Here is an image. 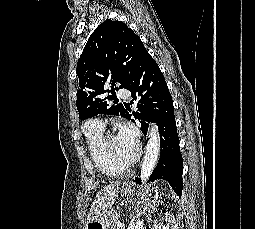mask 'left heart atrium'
I'll list each match as a JSON object with an SVG mask.
<instances>
[{"label": "left heart atrium", "mask_w": 255, "mask_h": 229, "mask_svg": "<svg viewBox=\"0 0 255 229\" xmlns=\"http://www.w3.org/2000/svg\"><path fill=\"white\" fill-rule=\"evenodd\" d=\"M118 138L129 148L138 150L139 137L137 130L132 125L123 124L120 127Z\"/></svg>", "instance_id": "1"}]
</instances>
